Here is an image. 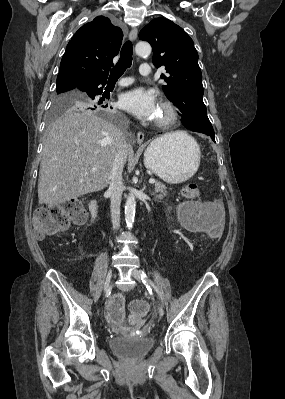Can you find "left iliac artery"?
Here are the masks:
<instances>
[{"instance_id": "obj_1", "label": "left iliac artery", "mask_w": 285, "mask_h": 399, "mask_svg": "<svg viewBox=\"0 0 285 399\" xmlns=\"http://www.w3.org/2000/svg\"><path fill=\"white\" fill-rule=\"evenodd\" d=\"M140 275H141V280L142 282L145 283H149L154 290L159 294V296L162 299L161 293L159 292L158 288L154 285V283L148 278V276L146 275V273L143 270H140Z\"/></svg>"}]
</instances>
